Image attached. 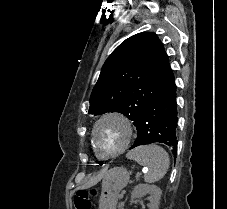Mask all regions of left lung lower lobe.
<instances>
[{"instance_id": "1", "label": "left lung lower lobe", "mask_w": 227, "mask_h": 209, "mask_svg": "<svg viewBox=\"0 0 227 209\" xmlns=\"http://www.w3.org/2000/svg\"><path fill=\"white\" fill-rule=\"evenodd\" d=\"M176 107V85L173 75L143 110L136 125L137 138L130 149L159 142L171 147L173 153L176 154L178 143L176 137L178 121Z\"/></svg>"}]
</instances>
